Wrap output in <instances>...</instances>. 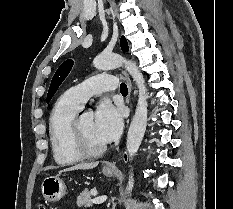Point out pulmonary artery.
I'll list each match as a JSON object with an SVG mask.
<instances>
[{"mask_svg":"<svg viewBox=\"0 0 233 209\" xmlns=\"http://www.w3.org/2000/svg\"><path fill=\"white\" fill-rule=\"evenodd\" d=\"M117 87L115 76L100 74L92 76L82 83L70 88L66 95L67 98L79 108L93 95L107 91H113Z\"/></svg>","mask_w":233,"mask_h":209,"instance_id":"pulmonary-artery-1","label":"pulmonary artery"}]
</instances>
